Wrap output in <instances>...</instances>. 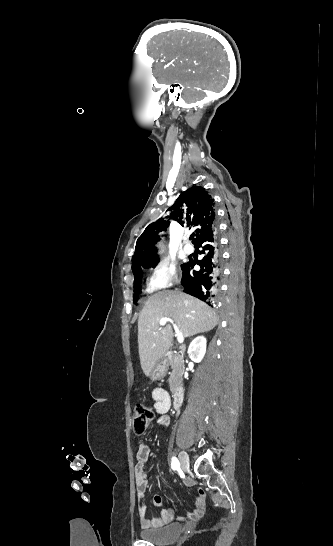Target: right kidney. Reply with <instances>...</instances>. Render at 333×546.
Listing matches in <instances>:
<instances>
[{
	"instance_id": "obj_1",
	"label": "right kidney",
	"mask_w": 333,
	"mask_h": 546,
	"mask_svg": "<svg viewBox=\"0 0 333 546\" xmlns=\"http://www.w3.org/2000/svg\"><path fill=\"white\" fill-rule=\"evenodd\" d=\"M205 352H206V338L204 336H199L196 339H194L188 348L189 358L196 363H199L202 361L205 355Z\"/></svg>"
}]
</instances>
